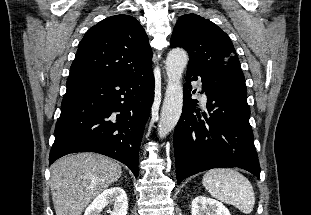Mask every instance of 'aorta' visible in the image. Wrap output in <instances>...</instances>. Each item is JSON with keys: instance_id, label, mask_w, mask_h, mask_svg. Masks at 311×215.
<instances>
[{"instance_id": "obj_1", "label": "aorta", "mask_w": 311, "mask_h": 215, "mask_svg": "<svg viewBox=\"0 0 311 215\" xmlns=\"http://www.w3.org/2000/svg\"><path fill=\"white\" fill-rule=\"evenodd\" d=\"M187 62L188 54L182 48H174L167 55L166 73L168 82L158 125L160 138L166 137L175 128L181 116L183 107L181 80Z\"/></svg>"}]
</instances>
